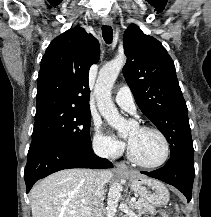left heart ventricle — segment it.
Returning a JSON list of instances; mask_svg holds the SVG:
<instances>
[{
	"label": "left heart ventricle",
	"mask_w": 211,
	"mask_h": 217,
	"mask_svg": "<svg viewBox=\"0 0 211 217\" xmlns=\"http://www.w3.org/2000/svg\"><path fill=\"white\" fill-rule=\"evenodd\" d=\"M128 140L135 156L144 163H157L164 156L163 140L155 132L134 128L129 132Z\"/></svg>",
	"instance_id": "left-heart-ventricle-1"
}]
</instances>
